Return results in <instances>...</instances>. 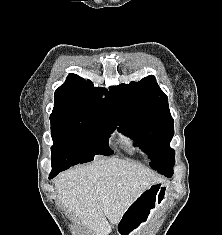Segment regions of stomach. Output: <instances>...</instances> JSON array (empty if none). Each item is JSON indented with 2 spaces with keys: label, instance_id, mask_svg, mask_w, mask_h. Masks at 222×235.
Here are the masks:
<instances>
[{
  "label": "stomach",
  "instance_id": "obj_1",
  "mask_svg": "<svg viewBox=\"0 0 222 235\" xmlns=\"http://www.w3.org/2000/svg\"><path fill=\"white\" fill-rule=\"evenodd\" d=\"M169 195V186L164 182L155 183L144 190L117 224L118 235H137L167 202Z\"/></svg>",
  "mask_w": 222,
  "mask_h": 235
}]
</instances>
